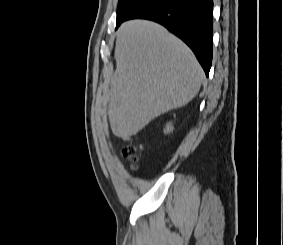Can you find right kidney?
I'll return each mask as SVG.
<instances>
[{
    "label": "right kidney",
    "instance_id": "right-kidney-1",
    "mask_svg": "<svg viewBox=\"0 0 283 245\" xmlns=\"http://www.w3.org/2000/svg\"><path fill=\"white\" fill-rule=\"evenodd\" d=\"M172 131H173V126H172L171 123H168V124L166 125V128L164 129V133H165V134H168V133H170V132H172Z\"/></svg>",
    "mask_w": 283,
    "mask_h": 245
}]
</instances>
